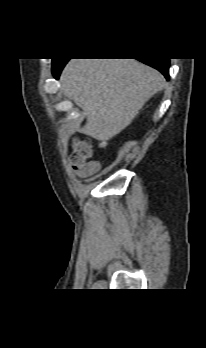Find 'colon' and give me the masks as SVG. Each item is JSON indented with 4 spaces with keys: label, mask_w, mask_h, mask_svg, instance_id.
<instances>
[{
    "label": "colon",
    "mask_w": 206,
    "mask_h": 348,
    "mask_svg": "<svg viewBox=\"0 0 206 348\" xmlns=\"http://www.w3.org/2000/svg\"><path fill=\"white\" fill-rule=\"evenodd\" d=\"M90 157V147L87 144L78 141L72 150L70 161L74 166H79L84 164Z\"/></svg>",
    "instance_id": "obj_1"
}]
</instances>
